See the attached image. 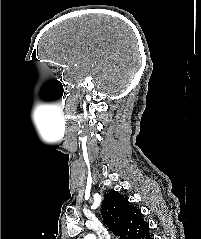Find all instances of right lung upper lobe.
I'll return each instance as SVG.
<instances>
[{
    "label": "right lung upper lobe",
    "instance_id": "1",
    "mask_svg": "<svg viewBox=\"0 0 201 239\" xmlns=\"http://www.w3.org/2000/svg\"><path fill=\"white\" fill-rule=\"evenodd\" d=\"M102 218L120 239H146L149 224L142 218L140 209L132 206L128 197L117 191L108 193L103 200Z\"/></svg>",
    "mask_w": 201,
    "mask_h": 239
}]
</instances>
